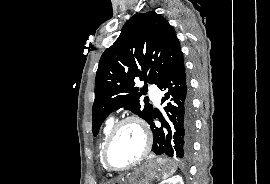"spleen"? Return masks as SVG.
<instances>
[{"label": "spleen", "mask_w": 270, "mask_h": 184, "mask_svg": "<svg viewBox=\"0 0 270 184\" xmlns=\"http://www.w3.org/2000/svg\"><path fill=\"white\" fill-rule=\"evenodd\" d=\"M172 174H173V173H172ZM172 174H170V175H172ZM170 175L163 177V179H166V178L169 177Z\"/></svg>", "instance_id": "1"}]
</instances>
